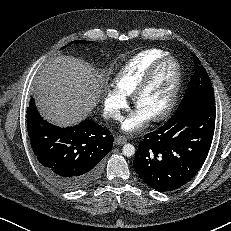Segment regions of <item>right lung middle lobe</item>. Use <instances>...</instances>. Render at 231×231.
<instances>
[{"label":"right lung middle lobe","mask_w":231,"mask_h":231,"mask_svg":"<svg viewBox=\"0 0 231 231\" xmlns=\"http://www.w3.org/2000/svg\"><path fill=\"white\" fill-rule=\"evenodd\" d=\"M72 43H82V44H88V43H90V41H79V40H76V41H72V42H70V44H72ZM65 47H66V46L62 47L61 49L65 48Z\"/></svg>","instance_id":"dd1d6c3e"}]
</instances>
